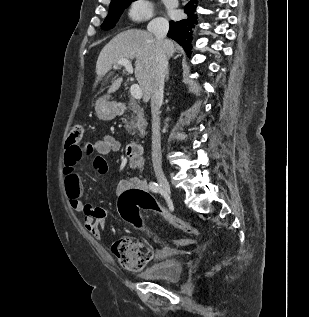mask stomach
I'll return each instance as SVG.
<instances>
[{
	"instance_id": "0dacf381",
	"label": "stomach",
	"mask_w": 309,
	"mask_h": 317,
	"mask_svg": "<svg viewBox=\"0 0 309 317\" xmlns=\"http://www.w3.org/2000/svg\"><path fill=\"white\" fill-rule=\"evenodd\" d=\"M95 111L97 116L101 120H112L118 114L116 109V104L109 101V96H103L96 100L95 102Z\"/></svg>"
}]
</instances>
